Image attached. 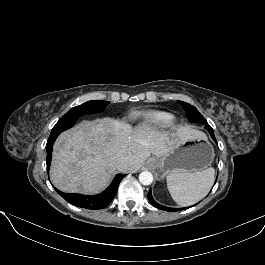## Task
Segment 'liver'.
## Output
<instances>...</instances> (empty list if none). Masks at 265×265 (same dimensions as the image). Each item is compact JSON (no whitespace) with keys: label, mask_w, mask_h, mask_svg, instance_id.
<instances>
[{"label":"liver","mask_w":265,"mask_h":265,"mask_svg":"<svg viewBox=\"0 0 265 265\" xmlns=\"http://www.w3.org/2000/svg\"><path fill=\"white\" fill-rule=\"evenodd\" d=\"M175 135L187 140L202 133L181 126ZM174 141L169 133L147 125L132 128L109 117L82 121L56 140L50 178L63 192L96 194L108 185L116 170L135 172L151 154L160 157L169 153ZM119 152L126 159L120 167L116 164Z\"/></svg>","instance_id":"obj_1"}]
</instances>
